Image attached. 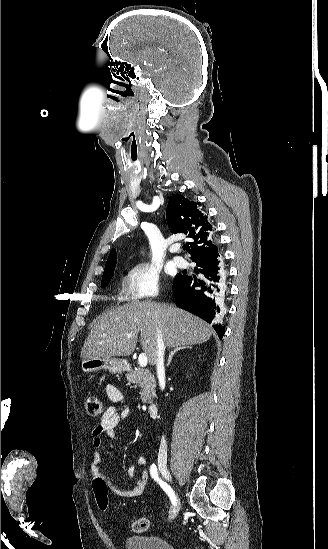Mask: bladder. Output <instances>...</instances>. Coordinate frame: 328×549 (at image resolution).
I'll return each instance as SVG.
<instances>
[{
  "label": "bladder",
  "instance_id": "bladder-1",
  "mask_svg": "<svg viewBox=\"0 0 328 549\" xmlns=\"http://www.w3.org/2000/svg\"><path fill=\"white\" fill-rule=\"evenodd\" d=\"M125 549H174L172 543L160 537H148L142 534L132 535L125 540Z\"/></svg>",
  "mask_w": 328,
  "mask_h": 549
}]
</instances>
